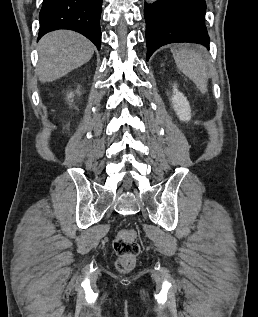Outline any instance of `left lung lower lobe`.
Wrapping results in <instances>:
<instances>
[{"mask_svg": "<svg viewBox=\"0 0 258 317\" xmlns=\"http://www.w3.org/2000/svg\"><path fill=\"white\" fill-rule=\"evenodd\" d=\"M205 14V0L145 3L147 60L159 47L169 43L190 42L209 48Z\"/></svg>", "mask_w": 258, "mask_h": 317, "instance_id": "0a47b994", "label": "left lung lower lobe"}]
</instances>
